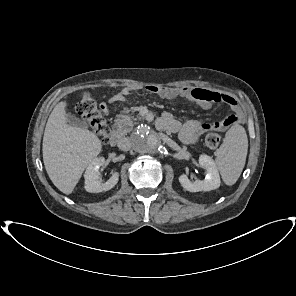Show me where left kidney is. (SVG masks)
Returning a JSON list of instances; mask_svg holds the SVG:
<instances>
[{
    "label": "left kidney",
    "instance_id": "obj_1",
    "mask_svg": "<svg viewBox=\"0 0 296 296\" xmlns=\"http://www.w3.org/2000/svg\"><path fill=\"white\" fill-rule=\"evenodd\" d=\"M199 164L206 170L205 179L191 182L187 175L182 174L179 176L181 186L190 192L210 191L219 188L221 181L214 160L210 156L202 154L199 157Z\"/></svg>",
    "mask_w": 296,
    "mask_h": 296
}]
</instances>
